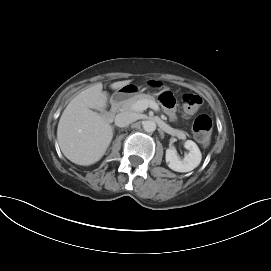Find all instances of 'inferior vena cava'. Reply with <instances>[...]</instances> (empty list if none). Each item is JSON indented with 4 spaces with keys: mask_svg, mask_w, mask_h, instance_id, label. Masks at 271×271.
I'll use <instances>...</instances> for the list:
<instances>
[{
    "mask_svg": "<svg viewBox=\"0 0 271 271\" xmlns=\"http://www.w3.org/2000/svg\"><path fill=\"white\" fill-rule=\"evenodd\" d=\"M136 120V116L131 112H122L116 115L115 124L118 127H125Z\"/></svg>",
    "mask_w": 271,
    "mask_h": 271,
    "instance_id": "602c4592",
    "label": "inferior vena cava"
}]
</instances>
